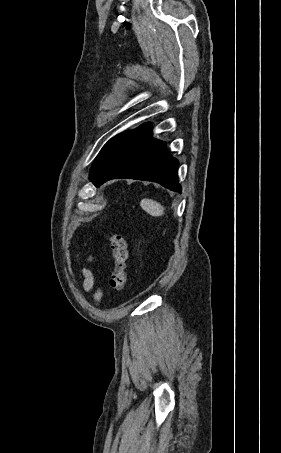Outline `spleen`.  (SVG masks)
Wrapping results in <instances>:
<instances>
[{"instance_id":"spleen-1","label":"spleen","mask_w":281,"mask_h":453,"mask_svg":"<svg viewBox=\"0 0 281 453\" xmlns=\"http://www.w3.org/2000/svg\"><path fill=\"white\" fill-rule=\"evenodd\" d=\"M140 206L143 210H146L148 214H152V216H161V214H164L165 210L160 202H156V200H152V198H142Z\"/></svg>"}]
</instances>
